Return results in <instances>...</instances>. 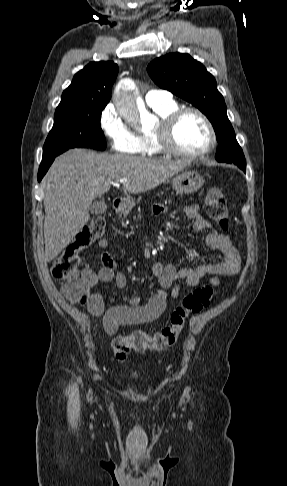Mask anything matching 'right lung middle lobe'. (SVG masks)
<instances>
[{
	"instance_id": "dd1d6c3e",
	"label": "right lung middle lobe",
	"mask_w": 287,
	"mask_h": 486,
	"mask_svg": "<svg viewBox=\"0 0 287 486\" xmlns=\"http://www.w3.org/2000/svg\"><path fill=\"white\" fill-rule=\"evenodd\" d=\"M106 105L94 102L58 106L53 128L43 147L42 160L76 147L104 150L106 140L100 118Z\"/></svg>"
}]
</instances>
